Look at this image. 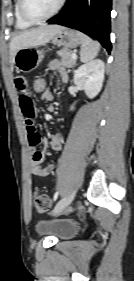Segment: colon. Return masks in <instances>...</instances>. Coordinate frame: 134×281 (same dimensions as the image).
<instances>
[{
  "mask_svg": "<svg viewBox=\"0 0 134 281\" xmlns=\"http://www.w3.org/2000/svg\"><path fill=\"white\" fill-rule=\"evenodd\" d=\"M32 88L35 93L42 95L47 90V82L43 77L37 76L33 80ZM33 203L40 212H46L50 208V198L46 194H34Z\"/></svg>",
  "mask_w": 134,
  "mask_h": 281,
  "instance_id": "obj_1",
  "label": "colon"
}]
</instances>
